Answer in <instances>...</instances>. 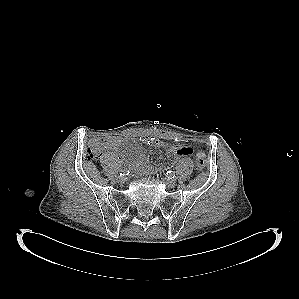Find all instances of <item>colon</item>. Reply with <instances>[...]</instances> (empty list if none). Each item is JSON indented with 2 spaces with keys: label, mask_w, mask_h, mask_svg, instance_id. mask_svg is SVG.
Returning <instances> with one entry per match:
<instances>
[{
  "label": "colon",
  "mask_w": 299,
  "mask_h": 299,
  "mask_svg": "<svg viewBox=\"0 0 299 299\" xmlns=\"http://www.w3.org/2000/svg\"><path fill=\"white\" fill-rule=\"evenodd\" d=\"M106 140L104 139H94L90 142L89 148H88V158L91 160L97 159L103 148L105 147ZM195 162L196 166L199 171H203L207 166V161L205 158V154L202 151H196L195 152Z\"/></svg>",
  "instance_id": "5ec220e1"
}]
</instances>
